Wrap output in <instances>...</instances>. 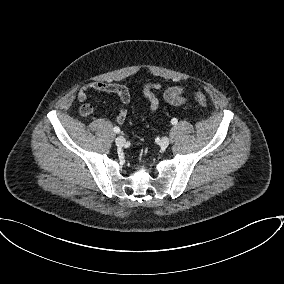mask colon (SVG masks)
I'll list each match as a JSON object with an SVG mask.
<instances>
[{
	"instance_id": "obj_1",
	"label": "colon",
	"mask_w": 284,
	"mask_h": 284,
	"mask_svg": "<svg viewBox=\"0 0 284 284\" xmlns=\"http://www.w3.org/2000/svg\"><path fill=\"white\" fill-rule=\"evenodd\" d=\"M194 97L196 101L202 106L206 107L207 106V99L206 97L201 93V92H195Z\"/></svg>"
}]
</instances>
